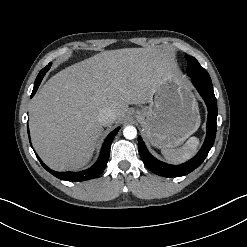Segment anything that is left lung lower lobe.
<instances>
[{"instance_id":"obj_1","label":"left lung lower lobe","mask_w":247,"mask_h":247,"mask_svg":"<svg viewBox=\"0 0 247 247\" xmlns=\"http://www.w3.org/2000/svg\"><path fill=\"white\" fill-rule=\"evenodd\" d=\"M192 83L204 99L208 108L207 135L201 150L188 162L181 165H170L154 158L147 150L141 137H138L139 154L146 167L153 173L162 177H180L191 173L198 168L207 157L212 148L216 136L217 102L211 80L197 78L194 74L189 75Z\"/></svg>"}]
</instances>
